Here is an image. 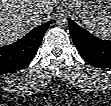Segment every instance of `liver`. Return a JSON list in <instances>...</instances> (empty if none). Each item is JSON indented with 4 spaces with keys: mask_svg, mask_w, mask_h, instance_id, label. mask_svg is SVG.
I'll list each match as a JSON object with an SVG mask.
<instances>
[{
    "mask_svg": "<svg viewBox=\"0 0 111 106\" xmlns=\"http://www.w3.org/2000/svg\"><path fill=\"white\" fill-rule=\"evenodd\" d=\"M57 0H1L0 44L22 38L34 27L49 19Z\"/></svg>",
    "mask_w": 111,
    "mask_h": 106,
    "instance_id": "1",
    "label": "liver"
}]
</instances>
